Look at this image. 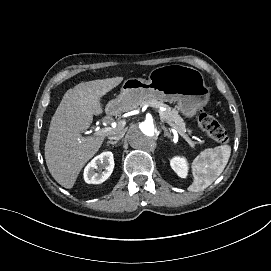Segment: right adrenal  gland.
I'll return each mask as SVG.
<instances>
[{
  "instance_id": "1",
  "label": "right adrenal gland",
  "mask_w": 271,
  "mask_h": 271,
  "mask_svg": "<svg viewBox=\"0 0 271 271\" xmlns=\"http://www.w3.org/2000/svg\"><path fill=\"white\" fill-rule=\"evenodd\" d=\"M109 144H112V145H114V144H117V141H107V145H109Z\"/></svg>"
}]
</instances>
